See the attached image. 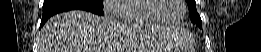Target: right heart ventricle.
Wrapping results in <instances>:
<instances>
[{"instance_id": "right-heart-ventricle-1", "label": "right heart ventricle", "mask_w": 261, "mask_h": 52, "mask_svg": "<svg viewBox=\"0 0 261 52\" xmlns=\"http://www.w3.org/2000/svg\"><path fill=\"white\" fill-rule=\"evenodd\" d=\"M151 0H128L117 6L123 14L122 21L126 24H158L160 23L149 9Z\"/></svg>"}]
</instances>
